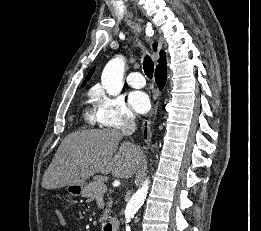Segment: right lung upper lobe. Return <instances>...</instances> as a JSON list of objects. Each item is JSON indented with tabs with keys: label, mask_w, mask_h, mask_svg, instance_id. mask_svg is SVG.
<instances>
[{
	"label": "right lung upper lobe",
	"mask_w": 261,
	"mask_h": 231,
	"mask_svg": "<svg viewBox=\"0 0 261 231\" xmlns=\"http://www.w3.org/2000/svg\"><path fill=\"white\" fill-rule=\"evenodd\" d=\"M154 49L156 50L157 49V43H154ZM166 57H165V53H164V51H161L160 52V59H159V64L157 65V68L156 69H159V68H161L162 66H165L166 65ZM93 72H94V68L93 69H91L90 71H89V73H88V76L86 77V79H85V81H84V83H83V85L90 79V77H91V75L93 74ZM82 85V86H83Z\"/></svg>",
	"instance_id": "cb5924a9"
}]
</instances>
